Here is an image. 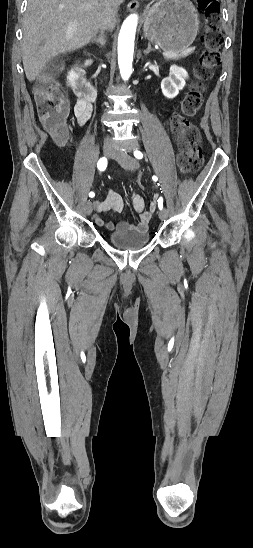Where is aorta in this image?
<instances>
[{"mask_svg": "<svg viewBox=\"0 0 253 548\" xmlns=\"http://www.w3.org/2000/svg\"><path fill=\"white\" fill-rule=\"evenodd\" d=\"M138 16L131 14L122 24L118 37V64L121 77L128 80L132 74V61L134 53V40Z\"/></svg>", "mask_w": 253, "mask_h": 548, "instance_id": "obj_1", "label": "aorta"}]
</instances>
